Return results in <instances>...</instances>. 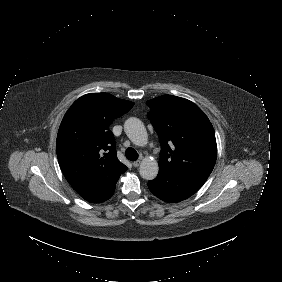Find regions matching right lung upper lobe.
I'll return each instance as SVG.
<instances>
[{
    "instance_id": "1",
    "label": "right lung upper lobe",
    "mask_w": 282,
    "mask_h": 282,
    "mask_svg": "<svg viewBox=\"0 0 282 282\" xmlns=\"http://www.w3.org/2000/svg\"><path fill=\"white\" fill-rule=\"evenodd\" d=\"M133 105L108 93L86 94L72 104L61 122L58 162L67 181L87 201L110 189L127 170L117 159L110 125Z\"/></svg>"
}]
</instances>
